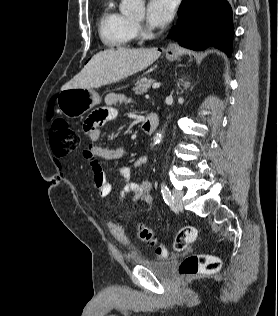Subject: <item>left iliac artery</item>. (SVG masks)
<instances>
[{"label":"left iliac artery","instance_id":"obj_1","mask_svg":"<svg viewBox=\"0 0 278 316\" xmlns=\"http://www.w3.org/2000/svg\"><path fill=\"white\" fill-rule=\"evenodd\" d=\"M161 193H162L165 203L167 205H172L174 202L173 196L171 195V192L168 186L164 182L161 183Z\"/></svg>","mask_w":278,"mask_h":316}]
</instances>
